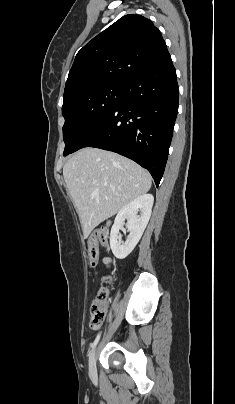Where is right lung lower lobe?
<instances>
[{"label":"right lung lower lobe","instance_id":"98d812e1","mask_svg":"<svg viewBox=\"0 0 235 404\" xmlns=\"http://www.w3.org/2000/svg\"><path fill=\"white\" fill-rule=\"evenodd\" d=\"M178 100L176 70L169 56L128 79L118 105L86 133L73 152L97 147L121 154L146 168L158 187L168 158Z\"/></svg>","mask_w":235,"mask_h":404}]
</instances>
